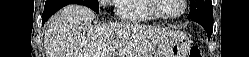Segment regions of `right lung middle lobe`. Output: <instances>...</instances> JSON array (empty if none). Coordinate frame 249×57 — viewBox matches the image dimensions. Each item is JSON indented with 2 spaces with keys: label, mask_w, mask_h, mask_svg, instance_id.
Masks as SVG:
<instances>
[{
  "label": "right lung middle lobe",
  "mask_w": 249,
  "mask_h": 57,
  "mask_svg": "<svg viewBox=\"0 0 249 57\" xmlns=\"http://www.w3.org/2000/svg\"><path fill=\"white\" fill-rule=\"evenodd\" d=\"M65 1L77 2L80 5H84V6H87V7L91 8L95 12H99L98 0H65Z\"/></svg>",
  "instance_id": "1"
}]
</instances>
